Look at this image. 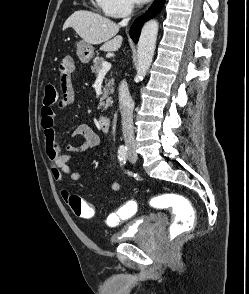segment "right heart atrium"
I'll return each instance as SVG.
<instances>
[{
	"mask_svg": "<svg viewBox=\"0 0 249 294\" xmlns=\"http://www.w3.org/2000/svg\"><path fill=\"white\" fill-rule=\"evenodd\" d=\"M103 11L112 17H125L137 6L138 0H103Z\"/></svg>",
	"mask_w": 249,
	"mask_h": 294,
	"instance_id": "1",
	"label": "right heart atrium"
}]
</instances>
